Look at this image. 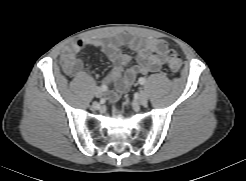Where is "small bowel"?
I'll use <instances>...</instances> for the list:
<instances>
[{"instance_id": "c3829d8e", "label": "small bowel", "mask_w": 246, "mask_h": 181, "mask_svg": "<svg viewBox=\"0 0 246 181\" xmlns=\"http://www.w3.org/2000/svg\"><path fill=\"white\" fill-rule=\"evenodd\" d=\"M125 45L135 53L136 58V63L126 70L131 57L122 51ZM87 47L100 49L113 63L112 72L105 78L106 83L113 84L109 94L113 101L119 99L130 88L137 76L158 72L164 65L169 51L167 43L161 39H142L123 34L109 40L80 38L65 46L62 51L61 66L67 75H82L83 62L79 54Z\"/></svg>"}]
</instances>
